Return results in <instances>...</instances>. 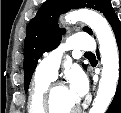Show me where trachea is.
Segmentation results:
<instances>
[{
    "mask_svg": "<svg viewBox=\"0 0 121 113\" xmlns=\"http://www.w3.org/2000/svg\"><path fill=\"white\" fill-rule=\"evenodd\" d=\"M85 54H88L89 55V54H92V52H86Z\"/></svg>",
    "mask_w": 121,
    "mask_h": 113,
    "instance_id": "3493384b",
    "label": "trachea"
}]
</instances>
